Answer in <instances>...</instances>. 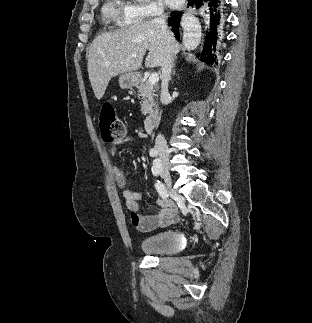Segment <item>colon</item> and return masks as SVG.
<instances>
[{"instance_id": "5ec220e1", "label": "colon", "mask_w": 312, "mask_h": 323, "mask_svg": "<svg viewBox=\"0 0 312 323\" xmlns=\"http://www.w3.org/2000/svg\"><path fill=\"white\" fill-rule=\"evenodd\" d=\"M99 125L102 138L107 142L119 140L125 136V125L123 121L116 116L110 103H105L102 107Z\"/></svg>"}]
</instances>
